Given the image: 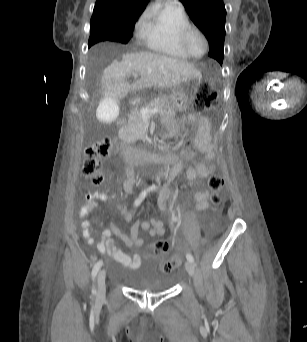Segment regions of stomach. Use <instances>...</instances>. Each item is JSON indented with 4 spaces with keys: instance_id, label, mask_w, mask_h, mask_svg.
<instances>
[{
    "instance_id": "obj_1",
    "label": "stomach",
    "mask_w": 307,
    "mask_h": 342,
    "mask_svg": "<svg viewBox=\"0 0 307 342\" xmlns=\"http://www.w3.org/2000/svg\"><path fill=\"white\" fill-rule=\"evenodd\" d=\"M200 84V79H191L177 87L170 95L173 109L182 112L190 104L196 94Z\"/></svg>"
}]
</instances>
